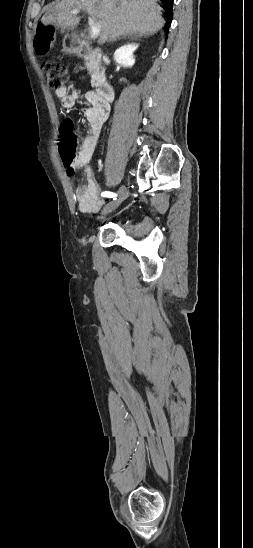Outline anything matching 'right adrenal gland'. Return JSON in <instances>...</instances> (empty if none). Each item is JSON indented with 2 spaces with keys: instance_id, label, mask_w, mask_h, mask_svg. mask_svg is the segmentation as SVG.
Here are the masks:
<instances>
[{
  "instance_id": "2a0ac1e0",
  "label": "right adrenal gland",
  "mask_w": 253,
  "mask_h": 548,
  "mask_svg": "<svg viewBox=\"0 0 253 548\" xmlns=\"http://www.w3.org/2000/svg\"><path fill=\"white\" fill-rule=\"evenodd\" d=\"M130 37H132V36H130V35H125V36L119 37V38H117V39L110 40L109 42H116L117 40L126 39V38H130Z\"/></svg>"
}]
</instances>
